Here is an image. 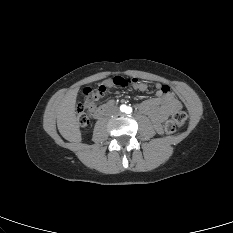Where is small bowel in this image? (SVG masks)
<instances>
[{
  "label": "small bowel",
  "instance_id": "obj_1",
  "mask_svg": "<svg viewBox=\"0 0 233 233\" xmlns=\"http://www.w3.org/2000/svg\"><path fill=\"white\" fill-rule=\"evenodd\" d=\"M133 87L139 91H145L147 85L144 82L136 81ZM156 96L154 98L146 99L138 104L137 108L142 114H146L153 122L154 128L158 133L163 131V122L173 112L180 110L182 105L172 93L168 85L162 83L155 84ZM112 102V100L107 103ZM96 109L94 104L91 110Z\"/></svg>",
  "mask_w": 233,
  "mask_h": 233
}]
</instances>
